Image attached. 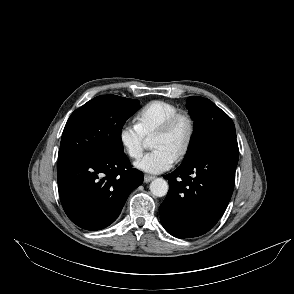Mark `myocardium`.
<instances>
[{
  "label": "myocardium",
  "mask_w": 294,
  "mask_h": 294,
  "mask_svg": "<svg viewBox=\"0 0 294 294\" xmlns=\"http://www.w3.org/2000/svg\"><path fill=\"white\" fill-rule=\"evenodd\" d=\"M180 120H186L188 124V134L184 145L176 155L177 160L184 158L188 154L194 142L196 122L193 116L188 112L178 111L168 117L153 134V137H155L169 133Z\"/></svg>",
  "instance_id": "obj_1"
}]
</instances>
